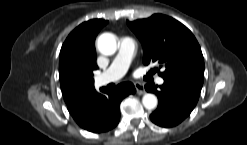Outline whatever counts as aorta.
Segmentation results:
<instances>
[{"instance_id":"aorta-1","label":"aorta","mask_w":247,"mask_h":145,"mask_svg":"<svg viewBox=\"0 0 247 145\" xmlns=\"http://www.w3.org/2000/svg\"><path fill=\"white\" fill-rule=\"evenodd\" d=\"M97 47L101 54L112 55L117 50L116 37L111 33H103L97 40ZM142 103L146 109H154L158 104V99L154 94L146 93L142 98Z\"/></svg>"}]
</instances>
